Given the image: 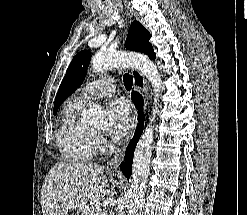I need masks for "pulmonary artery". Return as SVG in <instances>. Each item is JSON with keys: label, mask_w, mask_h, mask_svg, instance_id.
<instances>
[{"label": "pulmonary artery", "mask_w": 247, "mask_h": 215, "mask_svg": "<svg viewBox=\"0 0 247 215\" xmlns=\"http://www.w3.org/2000/svg\"><path fill=\"white\" fill-rule=\"evenodd\" d=\"M115 92V79L102 77L87 84L81 91L77 101L85 104L89 100L110 97Z\"/></svg>", "instance_id": "1"}]
</instances>
